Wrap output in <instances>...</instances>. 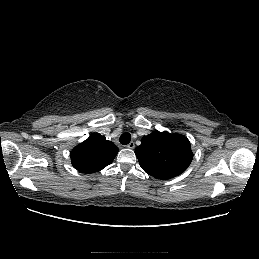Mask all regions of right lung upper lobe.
I'll use <instances>...</instances> for the list:
<instances>
[{
  "label": "right lung upper lobe",
  "instance_id": "1",
  "mask_svg": "<svg viewBox=\"0 0 259 259\" xmlns=\"http://www.w3.org/2000/svg\"><path fill=\"white\" fill-rule=\"evenodd\" d=\"M118 153L117 146L106 140L98 133L89 138L71 151V162L75 169L83 173H94L101 171L110 165Z\"/></svg>",
  "mask_w": 259,
  "mask_h": 259
}]
</instances>
